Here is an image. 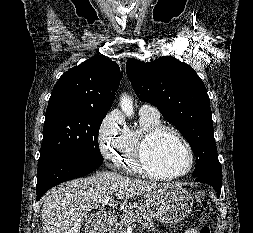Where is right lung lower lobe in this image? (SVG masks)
Segmentation results:
<instances>
[{"label": "right lung lower lobe", "instance_id": "obj_1", "mask_svg": "<svg viewBox=\"0 0 253 233\" xmlns=\"http://www.w3.org/2000/svg\"><path fill=\"white\" fill-rule=\"evenodd\" d=\"M103 161L69 156H52L38 162L37 200L50 188L83 177L101 166Z\"/></svg>", "mask_w": 253, "mask_h": 233}]
</instances>
